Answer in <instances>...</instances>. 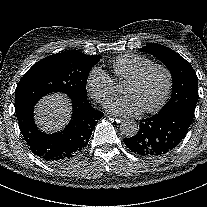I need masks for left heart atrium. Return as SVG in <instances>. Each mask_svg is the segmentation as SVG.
<instances>
[{"label": "left heart atrium", "instance_id": "left-heart-atrium-1", "mask_svg": "<svg viewBox=\"0 0 207 207\" xmlns=\"http://www.w3.org/2000/svg\"><path fill=\"white\" fill-rule=\"evenodd\" d=\"M105 107L110 113L122 117H134L141 113L135 101L128 96L110 100Z\"/></svg>", "mask_w": 207, "mask_h": 207}]
</instances>
